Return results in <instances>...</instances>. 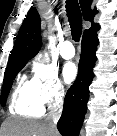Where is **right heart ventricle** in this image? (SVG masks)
<instances>
[{
	"label": "right heart ventricle",
	"instance_id": "right-heart-ventricle-1",
	"mask_svg": "<svg viewBox=\"0 0 117 136\" xmlns=\"http://www.w3.org/2000/svg\"><path fill=\"white\" fill-rule=\"evenodd\" d=\"M10 109L15 114L27 117H39L43 114L44 109L33 95L30 81L25 76L16 83Z\"/></svg>",
	"mask_w": 117,
	"mask_h": 136
}]
</instances>
